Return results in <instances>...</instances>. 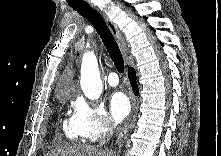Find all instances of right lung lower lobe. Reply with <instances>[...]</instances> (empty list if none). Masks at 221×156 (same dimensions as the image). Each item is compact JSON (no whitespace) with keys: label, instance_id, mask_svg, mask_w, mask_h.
I'll use <instances>...</instances> for the list:
<instances>
[{"label":"right lung lower lobe","instance_id":"right-lung-lower-lobe-1","mask_svg":"<svg viewBox=\"0 0 221 156\" xmlns=\"http://www.w3.org/2000/svg\"><path fill=\"white\" fill-rule=\"evenodd\" d=\"M128 78L130 80V83H131L132 90H133L134 94L138 95L139 90H138V85H137V81H136V73H135V70L133 68H129Z\"/></svg>","mask_w":221,"mask_h":156}]
</instances>
